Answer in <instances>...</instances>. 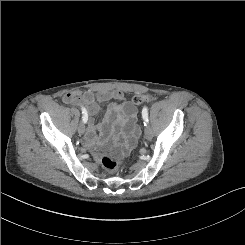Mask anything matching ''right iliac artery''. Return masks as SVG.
<instances>
[{
	"label": "right iliac artery",
	"instance_id": "82829eb1",
	"mask_svg": "<svg viewBox=\"0 0 245 245\" xmlns=\"http://www.w3.org/2000/svg\"><path fill=\"white\" fill-rule=\"evenodd\" d=\"M81 110H82V121L86 123L88 120V112L84 107H82Z\"/></svg>",
	"mask_w": 245,
	"mask_h": 245
}]
</instances>
